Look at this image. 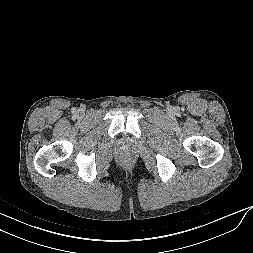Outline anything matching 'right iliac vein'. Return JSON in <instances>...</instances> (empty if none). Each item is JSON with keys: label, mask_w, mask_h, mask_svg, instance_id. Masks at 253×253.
<instances>
[{"label": "right iliac vein", "mask_w": 253, "mask_h": 253, "mask_svg": "<svg viewBox=\"0 0 253 253\" xmlns=\"http://www.w3.org/2000/svg\"><path fill=\"white\" fill-rule=\"evenodd\" d=\"M78 116H79V117H83V112H82V111H79V112H78Z\"/></svg>", "instance_id": "right-iliac-vein-1"}]
</instances>
